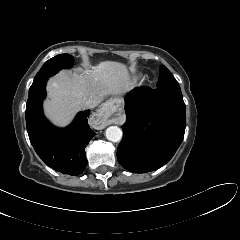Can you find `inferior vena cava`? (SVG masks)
Here are the masks:
<instances>
[{
    "label": "inferior vena cava",
    "instance_id": "obj_1",
    "mask_svg": "<svg viewBox=\"0 0 240 240\" xmlns=\"http://www.w3.org/2000/svg\"><path fill=\"white\" fill-rule=\"evenodd\" d=\"M97 106V102L92 99H88L83 103L84 108L92 109Z\"/></svg>",
    "mask_w": 240,
    "mask_h": 240
}]
</instances>
